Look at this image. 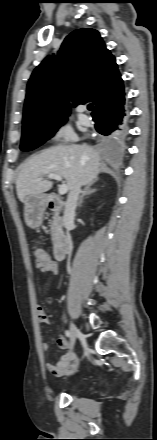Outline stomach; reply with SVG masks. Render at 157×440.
<instances>
[{"label":"stomach","instance_id":"1","mask_svg":"<svg viewBox=\"0 0 157 440\" xmlns=\"http://www.w3.org/2000/svg\"><path fill=\"white\" fill-rule=\"evenodd\" d=\"M24 219L28 227L35 229L42 224L46 208L43 195L27 196L24 200Z\"/></svg>","mask_w":157,"mask_h":440}]
</instances>
